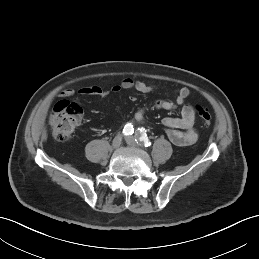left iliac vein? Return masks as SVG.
<instances>
[{"mask_svg": "<svg viewBox=\"0 0 259 259\" xmlns=\"http://www.w3.org/2000/svg\"><path fill=\"white\" fill-rule=\"evenodd\" d=\"M126 143L131 147H139L140 144L137 143L136 138L133 136L125 137Z\"/></svg>", "mask_w": 259, "mask_h": 259, "instance_id": "1", "label": "left iliac vein"}]
</instances>
